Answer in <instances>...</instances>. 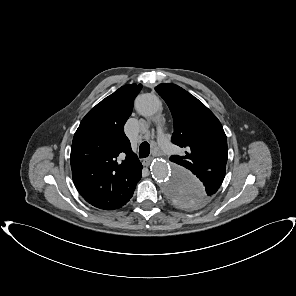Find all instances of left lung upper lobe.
Here are the masks:
<instances>
[{"label": "left lung upper lobe", "instance_id": "obj_1", "mask_svg": "<svg viewBox=\"0 0 296 296\" xmlns=\"http://www.w3.org/2000/svg\"><path fill=\"white\" fill-rule=\"evenodd\" d=\"M156 92L165 100L174 120L172 142L186 149L185 156H172L170 161L189 169L204 184L198 191L176 190L172 201L186 209L203 206L215 193L202 176L217 182L215 177L225 173L227 138L215 115L197 98L175 84H160ZM209 172V173H207ZM210 183V182H209Z\"/></svg>", "mask_w": 296, "mask_h": 296}]
</instances>
